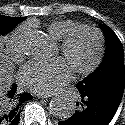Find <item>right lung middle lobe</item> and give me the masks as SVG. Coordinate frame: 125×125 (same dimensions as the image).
<instances>
[{
    "label": "right lung middle lobe",
    "instance_id": "1",
    "mask_svg": "<svg viewBox=\"0 0 125 125\" xmlns=\"http://www.w3.org/2000/svg\"><path fill=\"white\" fill-rule=\"evenodd\" d=\"M26 17H8L0 15V34H6L11 31L16 25L24 21ZM11 101L8 97L2 99L0 106H8Z\"/></svg>",
    "mask_w": 125,
    "mask_h": 125
}]
</instances>
